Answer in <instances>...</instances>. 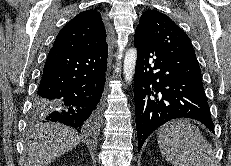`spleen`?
I'll return each mask as SVG.
<instances>
[{
    "label": "spleen",
    "instance_id": "spleen-1",
    "mask_svg": "<svg viewBox=\"0 0 231 166\" xmlns=\"http://www.w3.org/2000/svg\"><path fill=\"white\" fill-rule=\"evenodd\" d=\"M157 138L162 156L174 166H217L212 145L187 119L164 124Z\"/></svg>",
    "mask_w": 231,
    "mask_h": 166
}]
</instances>
